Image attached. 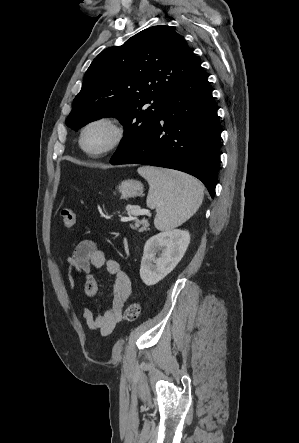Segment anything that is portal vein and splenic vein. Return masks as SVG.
I'll list each match as a JSON object with an SVG mask.
<instances>
[{
    "mask_svg": "<svg viewBox=\"0 0 299 443\" xmlns=\"http://www.w3.org/2000/svg\"><path fill=\"white\" fill-rule=\"evenodd\" d=\"M127 208H130V206L128 205ZM133 214H137L136 212H134Z\"/></svg>",
    "mask_w": 299,
    "mask_h": 443,
    "instance_id": "1",
    "label": "portal vein and splenic vein"
}]
</instances>
